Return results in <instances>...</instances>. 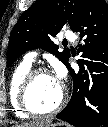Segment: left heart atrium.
Instances as JSON below:
<instances>
[{"label": "left heart atrium", "mask_w": 108, "mask_h": 127, "mask_svg": "<svg viewBox=\"0 0 108 127\" xmlns=\"http://www.w3.org/2000/svg\"><path fill=\"white\" fill-rule=\"evenodd\" d=\"M65 73L64 70L62 68H59L56 70V73L54 75V78L56 79V81L62 85L63 79H64Z\"/></svg>", "instance_id": "obj_1"}]
</instances>
